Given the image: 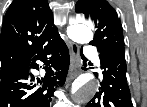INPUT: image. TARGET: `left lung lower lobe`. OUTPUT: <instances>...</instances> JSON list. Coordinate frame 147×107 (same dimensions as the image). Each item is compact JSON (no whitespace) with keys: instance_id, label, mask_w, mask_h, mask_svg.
I'll use <instances>...</instances> for the list:
<instances>
[{"instance_id":"obj_1","label":"left lung lower lobe","mask_w":147,"mask_h":107,"mask_svg":"<svg viewBox=\"0 0 147 107\" xmlns=\"http://www.w3.org/2000/svg\"><path fill=\"white\" fill-rule=\"evenodd\" d=\"M83 65L87 59L81 53ZM103 82L86 107H133L126 78L125 48L115 47L99 54Z\"/></svg>"}]
</instances>
